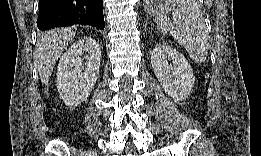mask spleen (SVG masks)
<instances>
[{
	"label": "spleen",
	"mask_w": 261,
	"mask_h": 156,
	"mask_svg": "<svg viewBox=\"0 0 261 156\" xmlns=\"http://www.w3.org/2000/svg\"><path fill=\"white\" fill-rule=\"evenodd\" d=\"M170 5V2L165 3L164 11L173 16V23H168L160 13H157L155 22L186 49L193 61L204 62L208 55V34L199 6L194 1L185 0L177 2L176 7Z\"/></svg>",
	"instance_id": "obj_1"
}]
</instances>
